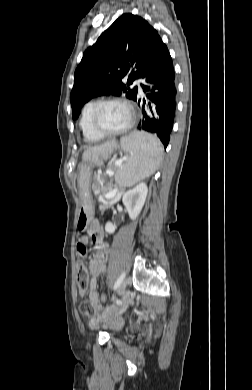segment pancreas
Returning <instances> with one entry per match:
<instances>
[{
    "label": "pancreas",
    "instance_id": "cf45deb5",
    "mask_svg": "<svg viewBox=\"0 0 252 390\" xmlns=\"http://www.w3.org/2000/svg\"><path fill=\"white\" fill-rule=\"evenodd\" d=\"M100 203L101 204L99 206V209H100V212H101V216H104L105 210L111 207V206H108V203H110V202H100Z\"/></svg>",
    "mask_w": 252,
    "mask_h": 390
}]
</instances>
